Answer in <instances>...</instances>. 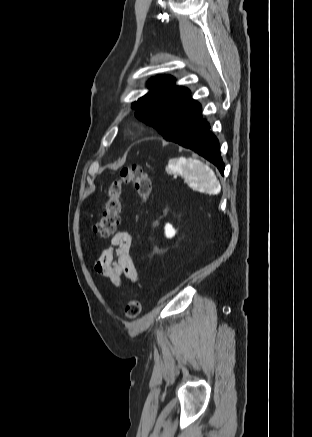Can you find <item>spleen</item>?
Returning <instances> with one entry per match:
<instances>
[{"label": "spleen", "mask_w": 312, "mask_h": 437, "mask_svg": "<svg viewBox=\"0 0 312 437\" xmlns=\"http://www.w3.org/2000/svg\"><path fill=\"white\" fill-rule=\"evenodd\" d=\"M167 170L182 174L192 186L208 194H218L220 183L213 170L197 159L174 158L168 162Z\"/></svg>", "instance_id": "spleen-1"}]
</instances>
